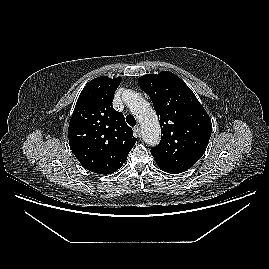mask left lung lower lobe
<instances>
[{"label":"left lung lower lobe","instance_id":"0a47b994","mask_svg":"<svg viewBox=\"0 0 269 269\" xmlns=\"http://www.w3.org/2000/svg\"><path fill=\"white\" fill-rule=\"evenodd\" d=\"M157 165L160 167V169H162L163 171L167 172V173H171V174H178V173H182L185 172V169H176V168H171V167H167L164 166L162 164L157 163Z\"/></svg>","mask_w":269,"mask_h":269}]
</instances>
